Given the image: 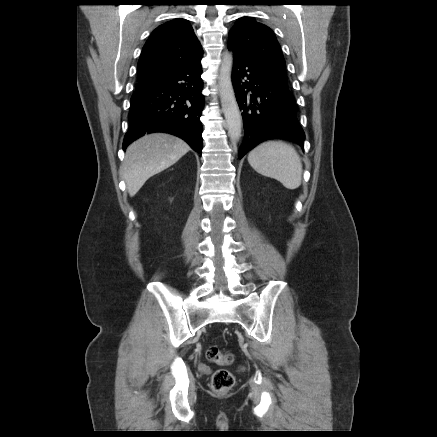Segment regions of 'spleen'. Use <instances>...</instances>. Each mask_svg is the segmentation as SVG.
Wrapping results in <instances>:
<instances>
[{
    "instance_id": "3e777b00",
    "label": "spleen",
    "mask_w": 437,
    "mask_h": 437,
    "mask_svg": "<svg viewBox=\"0 0 437 437\" xmlns=\"http://www.w3.org/2000/svg\"><path fill=\"white\" fill-rule=\"evenodd\" d=\"M248 162L255 171L278 180L287 189L294 190L301 185V158L287 143L263 142L250 151Z\"/></svg>"
}]
</instances>
